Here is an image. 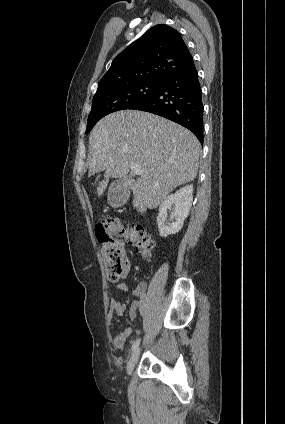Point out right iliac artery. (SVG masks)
<instances>
[{
	"label": "right iliac artery",
	"mask_w": 285,
	"mask_h": 424,
	"mask_svg": "<svg viewBox=\"0 0 285 424\" xmlns=\"http://www.w3.org/2000/svg\"><path fill=\"white\" fill-rule=\"evenodd\" d=\"M140 341H141V339H140V338H138V339L134 342V344L132 345V351H135V350L138 348V346H139V344H140Z\"/></svg>",
	"instance_id": "right-iliac-artery-1"
}]
</instances>
